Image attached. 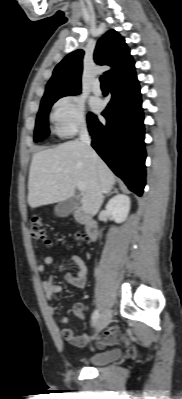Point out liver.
I'll use <instances>...</instances> for the list:
<instances>
[{"label":"liver","instance_id":"obj_1","mask_svg":"<svg viewBox=\"0 0 182 399\" xmlns=\"http://www.w3.org/2000/svg\"><path fill=\"white\" fill-rule=\"evenodd\" d=\"M115 175L106 163L79 140L36 152L31 161L28 204L31 208L62 202L75 194L78 183L85 184L81 205L95 215L115 184Z\"/></svg>","mask_w":182,"mask_h":399}]
</instances>
